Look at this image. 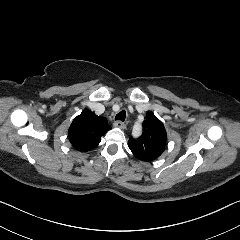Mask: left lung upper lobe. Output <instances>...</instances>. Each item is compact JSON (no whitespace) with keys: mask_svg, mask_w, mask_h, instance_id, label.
Wrapping results in <instances>:
<instances>
[{"mask_svg":"<svg viewBox=\"0 0 240 240\" xmlns=\"http://www.w3.org/2000/svg\"><path fill=\"white\" fill-rule=\"evenodd\" d=\"M167 133L163 123L148 112L143 122V133L137 138L130 137L128 147L134 156L142 161L158 158L164 151Z\"/></svg>","mask_w":240,"mask_h":240,"instance_id":"obj_1","label":"left lung upper lobe"}]
</instances>
